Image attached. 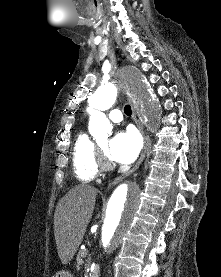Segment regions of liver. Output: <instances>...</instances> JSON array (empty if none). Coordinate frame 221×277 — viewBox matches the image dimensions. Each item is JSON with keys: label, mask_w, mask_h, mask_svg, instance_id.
<instances>
[{"label": "liver", "mask_w": 221, "mask_h": 277, "mask_svg": "<svg viewBox=\"0 0 221 277\" xmlns=\"http://www.w3.org/2000/svg\"><path fill=\"white\" fill-rule=\"evenodd\" d=\"M98 190L81 184L62 197L54 214V236L63 264L73 259L92 217Z\"/></svg>", "instance_id": "6515ba94"}]
</instances>
